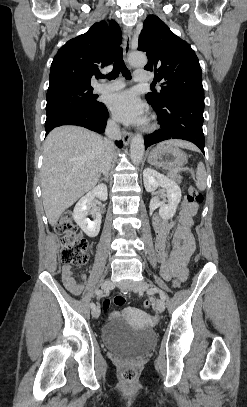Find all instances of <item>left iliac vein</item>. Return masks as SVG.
Returning <instances> with one entry per match:
<instances>
[{"mask_svg": "<svg viewBox=\"0 0 247 407\" xmlns=\"http://www.w3.org/2000/svg\"><path fill=\"white\" fill-rule=\"evenodd\" d=\"M149 288V285L147 282L142 281L140 282L135 288L134 291L139 292V293H143L144 291H146ZM156 308L157 310L162 313L165 310V303L164 300L162 299H157L156 301Z\"/></svg>", "mask_w": 247, "mask_h": 407, "instance_id": "obj_1", "label": "left iliac vein"}]
</instances>
